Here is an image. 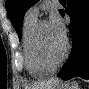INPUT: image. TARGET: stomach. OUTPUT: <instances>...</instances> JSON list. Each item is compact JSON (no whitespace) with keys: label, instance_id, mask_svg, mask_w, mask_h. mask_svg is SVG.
Wrapping results in <instances>:
<instances>
[{"label":"stomach","instance_id":"0dacf381","mask_svg":"<svg viewBox=\"0 0 89 89\" xmlns=\"http://www.w3.org/2000/svg\"><path fill=\"white\" fill-rule=\"evenodd\" d=\"M51 89H72L68 85H64L63 83H55Z\"/></svg>","mask_w":89,"mask_h":89}]
</instances>
